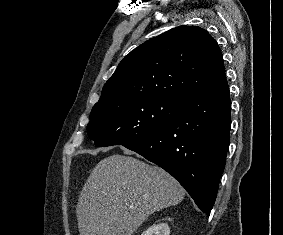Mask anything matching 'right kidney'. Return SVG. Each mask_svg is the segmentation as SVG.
<instances>
[{
    "label": "right kidney",
    "mask_w": 283,
    "mask_h": 235,
    "mask_svg": "<svg viewBox=\"0 0 283 235\" xmlns=\"http://www.w3.org/2000/svg\"><path fill=\"white\" fill-rule=\"evenodd\" d=\"M141 235H170V228L165 223L154 224Z\"/></svg>",
    "instance_id": "ca27d5eb"
}]
</instances>
